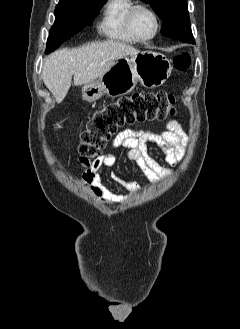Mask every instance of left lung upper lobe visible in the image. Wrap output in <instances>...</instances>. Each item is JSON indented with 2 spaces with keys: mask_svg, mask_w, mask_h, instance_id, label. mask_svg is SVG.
<instances>
[{
  "mask_svg": "<svg viewBox=\"0 0 240 329\" xmlns=\"http://www.w3.org/2000/svg\"><path fill=\"white\" fill-rule=\"evenodd\" d=\"M151 5L163 20L161 33L165 37L194 43L187 0H143Z\"/></svg>",
  "mask_w": 240,
  "mask_h": 329,
  "instance_id": "obj_1",
  "label": "left lung upper lobe"
}]
</instances>
